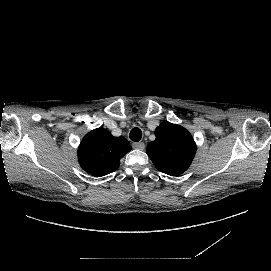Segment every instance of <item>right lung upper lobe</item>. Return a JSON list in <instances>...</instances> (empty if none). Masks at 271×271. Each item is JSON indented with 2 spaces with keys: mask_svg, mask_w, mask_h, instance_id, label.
Returning <instances> with one entry per match:
<instances>
[{
  "mask_svg": "<svg viewBox=\"0 0 271 271\" xmlns=\"http://www.w3.org/2000/svg\"><path fill=\"white\" fill-rule=\"evenodd\" d=\"M131 150L128 140L114 137L103 128L89 132L78 148L81 167L93 176H104L118 169L120 159Z\"/></svg>",
  "mask_w": 271,
  "mask_h": 271,
  "instance_id": "cb5924a9",
  "label": "right lung upper lobe"
}]
</instances>
